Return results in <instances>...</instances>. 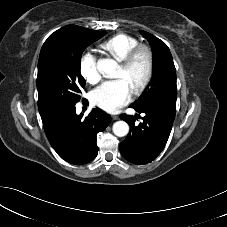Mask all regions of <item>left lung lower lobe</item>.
<instances>
[{"label": "left lung lower lobe", "mask_w": 227, "mask_h": 227, "mask_svg": "<svg viewBox=\"0 0 227 227\" xmlns=\"http://www.w3.org/2000/svg\"><path fill=\"white\" fill-rule=\"evenodd\" d=\"M137 112L139 114L135 116L127 114L119 116L130 126L129 134L120 143V151L131 163L144 165L153 161L164 149L176 111L152 106ZM138 118L142 121L136 124Z\"/></svg>", "instance_id": "left-lung-lower-lobe-1"}]
</instances>
